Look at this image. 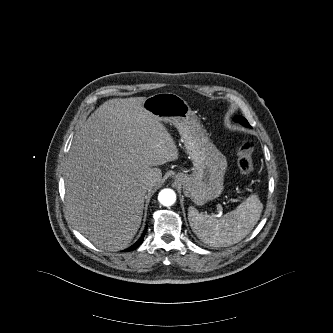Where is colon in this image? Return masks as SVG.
I'll use <instances>...</instances> for the list:
<instances>
[{"mask_svg": "<svg viewBox=\"0 0 333 333\" xmlns=\"http://www.w3.org/2000/svg\"><path fill=\"white\" fill-rule=\"evenodd\" d=\"M252 146L253 143L250 140H245L238 148V167L240 171L247 176H250L254 170L250 154Z\"/></svg>", "mask_w": 333, "mask_h": 333, "instance_id": "colon-1", "label": "colon"}]
</instances>
